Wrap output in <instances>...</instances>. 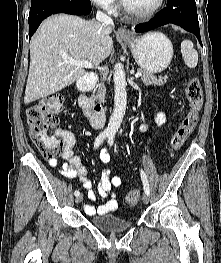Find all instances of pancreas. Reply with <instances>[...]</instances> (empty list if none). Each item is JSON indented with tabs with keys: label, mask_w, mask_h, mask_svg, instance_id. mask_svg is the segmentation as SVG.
<instances>
[{
	"label": "pancreas",
	"mask_w": 221,
	"mask_h": 263,
	"mask_svg": "<svg viewBox=\"0 0 221 263\" xmlns=\"http://www.w3.org/2000/svg\"><path fill=\"white\" fill-rule=\"evenodd\" d=\"M138 72L142 73L141 80L143 81V83L146 86H150V85L162 86L167 81L166 76L165 77L159 76L157 78L155 75L148 73V72L141 70V69H139ZM104 96H105V87H104V85L99 84L98 89H97V94L95 96H93V98L96 100L103 101Z\"/></svg>",
	"instance_id": "pancreas-1"
}]
</instances>
